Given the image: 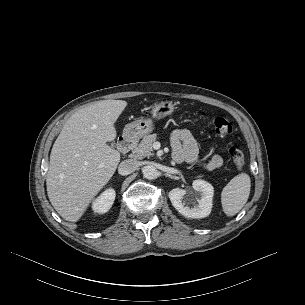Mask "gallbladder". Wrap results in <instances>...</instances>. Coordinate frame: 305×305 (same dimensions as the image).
<instances>
[{"instance_id":"gallbladder-1","label":"gallbladder","mask_w":305,"mask_h":305,"mask_svg":"<svg viewBox=\"0 0 305 305\" xmlns=\"http://www.w3.org/2000/svg\"><path fill=\"white\" fill-rule=\"evenodd\" d=\"M110 145H111L112 147H114V146H115V143H114V142H112Z\"/></svg>"}]
</instances>
